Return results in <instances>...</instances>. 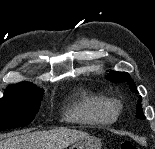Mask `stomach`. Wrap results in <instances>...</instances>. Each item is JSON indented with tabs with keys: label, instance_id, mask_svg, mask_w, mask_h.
I'll return each mask as SVG.
<instances>
[{
	"label": "stomach",
	"instance_id": "0dacf381",
	"mask_svg": "<svg viewBox=\"0 0 155 149\" xmlns=\"http://www.w3.org/2000/svg\"><path fill=\"white\" fill-rule=\"evenodd\" d=\"M101 140L95 136H87L76 141L70 149H101Z\"/></svg>",
	"mask_w": 155,
	"mask_h": 149
}]
</instances>
